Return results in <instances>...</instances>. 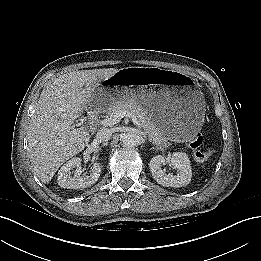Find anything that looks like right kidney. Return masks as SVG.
<instances>
[{"mask_svg":"<svg viewBox=\"0 0 261 261\" xmlns=\"http://www.w3.org/2000/svg\"><path fill=\"white\" fill-rule=\"evenodd\" d=\"M74 167H76V170L72 176L71 170ZM82 172L81 159L79 157L70 159L58 172V185L67 189H83L92 186L100 177V163H94L89 175H82Z\"/></svg>","mask_w":261,"mask_h":261,"instance_id":"right-kidney-1","label":"right kidney"}]
</instances>
